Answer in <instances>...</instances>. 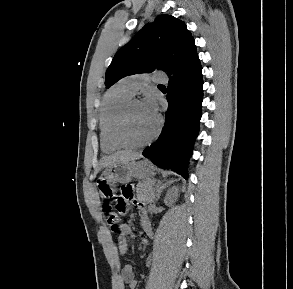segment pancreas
<instances>
[{
  "label": "pancreas",
  "instance_id": "pancreas-1",
  "mask_svg": "<svg viewBox=\"0 0 293 289\" xmlns=\"http://www.w3.org/2000/svg\"><path fill=\"white\" fill-rule=\"evenodd\" d=\"M153 184L151 182H140L136 186L137 197L145 202H153L155 200Z\"/></svg>",
  "mask_w": 293,
  "mask_h": 289
}]
</instances>
